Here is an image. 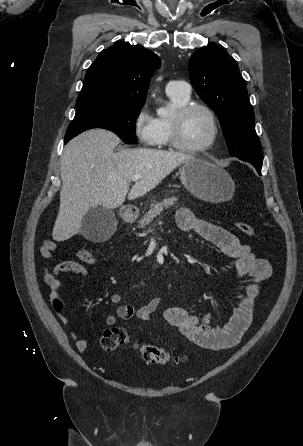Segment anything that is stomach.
Segmentation results:
<instances>
[{"instance_id":"stomach-1","label":"stomach","mask_w":303,"mask_h":446,"mask_svg":"<svg viewBox=\"0 0 303 446\" xmlns=\"http://www.w3.org/2000/svg\"><path fill=\"white\" fill-rule=\"evenodd\" d=\"M180 180L192 195L212 203L229 201L235 191L234 181L225 170L202 159L185 162L180 169Z\"/></svg>"}]
</instances>
